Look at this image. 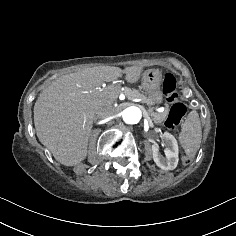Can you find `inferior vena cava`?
I'll return each mask as SVG.
<instances>
[{"instance_id":"602c4592","label":"inferior vena cava","mask_w":236,"mask_h":236,"mask_svg":"<svg viewBox=\"0 0 236 236\" xmlns=\"http://www.w3.org/2000/svg\"><path fill=\"white\" fill-rule=\"evenodd\" d=\"M92 115H93L95 118H98V117L101 115V112H100L98 109H95V110L92 112Z\"/></svg>"}]
</instances>
